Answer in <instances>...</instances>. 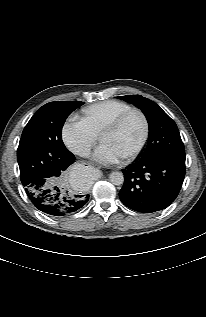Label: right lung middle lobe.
Instances as JSON below:
<instances>
[{
	"instance_id": "right-lung-middle-lobe-1",
	"label": "right lung middle lobe",
	"mask_w": 206,
	"mask_h": 317,
	"mask_svg": "<svg viewBox=\"0 0 206 317\" xmlns=\"http://www.w3.org/2000/svg\"><path fill=\"white\" fill-rule=\"evenodd\" d=\"M79 101H54L42 106L23 130L17 149L20 177L23 185L41 176L54 183L63 182L67 172L56 167L58 158L70 151L61 138L66 118L83 105Z\"/></svg>"
}]
</instances>
